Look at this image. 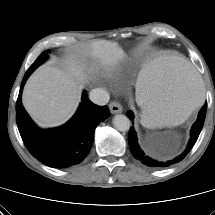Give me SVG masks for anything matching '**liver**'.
<instances>
[{
	"label": "liver",
	"mask_w": 215,
	"mask_h": 215,
	"mask_svg": "<svg viewBox=\"0 0 215 215\" xmlns=\"http://www.w3.org/2000/svg\"><path fill=\"white\" fill-rule=\"evenodd\" d=\"M87 56L111 67L124 54L116 42L102 40L88 45L79 59L69 61L63 68L53 65L39 67L26 82L22 94L26 111L39 126H59L74 114L80 102L82 86L87 82Z\"/></svg>",
	"instance_id": "liver-1"
}]
</instances>
